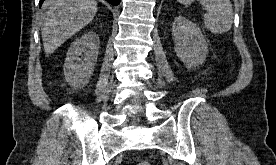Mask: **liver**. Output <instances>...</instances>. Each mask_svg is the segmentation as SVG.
<instances>
[{"label": "liver", "mask_w": 276, "mask_h": 165, "mask_svg": "<svg viewBox=\"0 0 276 165\" xmlns=\"http://www.w3.org/2000/svg\"><path fill=\"white\" fill-rule=\"evenodd\" d=\"M42 9V40L46 55L89 24L96 15V0H47Z\"/></svg>", "instance_id": "liver-1"}]
</instances>
